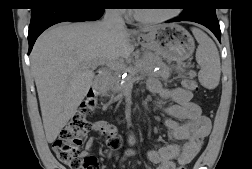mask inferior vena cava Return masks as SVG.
Wrapping results in <instances>:
<instances>
[{
	"label": "inferior vena cava",
	"mask_w": 252,
	"mask_h": 169,
	"mask_svg": "<svg viewBox=\"0 0 252 169\" xmlns=\"http://www.w3.org/2000/svg\"><path fill=\"white\" fill-rule=\"evenodd\" d=\"M103 22L109 29L124 30L126 28L120 9H106Z\"/></svg>",
	"instance_id": "602c4592"
}]
</instances>
